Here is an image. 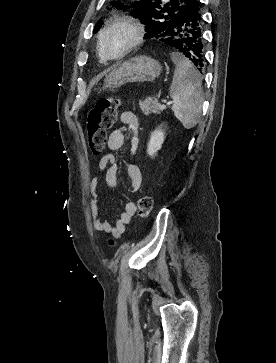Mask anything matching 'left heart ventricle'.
<instances>
[{
  "label": "left heart ventricle",
  "mask_w": 276,
  "mask_h": 363,
  "mask_svg": "<svg viewBox=\"0 0 276 363\" xmlns=\"http://www.w3.org/2000/svg\"><path fill=\"white\" fill-rule=\"evenodd\" d=\"M130 34L124 29L112 32L105 41V49L109 55L118 54L128 43Z\"/></svg>",
  "instance_id": "1"
}]
</instances>
